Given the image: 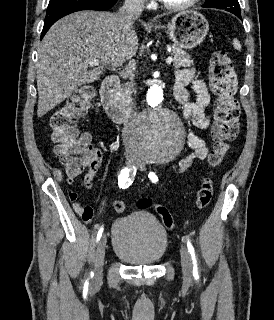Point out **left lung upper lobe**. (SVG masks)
Segmentation results:
<instances>
[{
    "label": "left lung upper lobe",
    "instance_id": "5c2ea615",
    "mask_svg": "<svg viewBox=\"0 0 274 320\" xmlns=\"http://www.w3.org/2000/svg\"><path fill=\"white\" fill-rule=\"evenodd\" d=\"M202 7L225 9L231 13L240 12L238 0H207Z\"/></svg>",
    "mask_w": 274,
    "mask_h": 320
}]
</instances>
